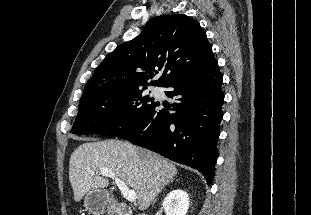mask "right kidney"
I'll use <instances>...</instances> for the list:
<instances>
[{
	"mask_svg": "<svg viewBox=\"0 0 311 215\" xmlns=\"http://www.w3.org/2000/svg\"><path fill=\"white\" fill-rule=\"evenodd\" d=\"M162 206L166 215H186L189 208L188 194L180 189L173 190L164 198Z\"/></svg>",
	"mask_w": 311,
	"mask_h": 215,
	"instance_id": "right-kidney-1",
	"label": "right kidney"
}]
</instances>
